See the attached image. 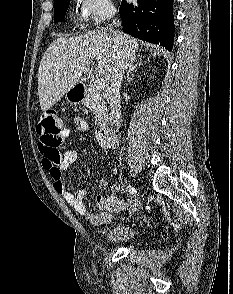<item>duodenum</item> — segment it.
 I'll return each mask as SVG.
<instances>
[{
	"instance_id": "410a0bca",
	"label": "duodenum",
	"mask_w": 233,
	"mask_h": 294,
	"mask_svg": "<svg viewBox=\"0 0 233 294\" xmlns=\"http://www.w3.org/2000/svg\"><path fill=\"white\" fill-rule=\"evenodd\" d=\"M73 92L76 97L81 98L84 95L85 86L83 84H77L74 87ZM101 137L108 146L115 147L117 145V137L111 129L109 128L102 129Z\"/></svg>"
}]
</instances>
